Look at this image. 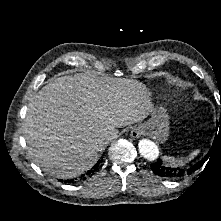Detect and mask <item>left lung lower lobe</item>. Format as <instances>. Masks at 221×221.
I'll use <instances>...</instances> for the list:
<instances>
[{
  "label": "left lung lower lobe",
  "mask_w": 221,
  "mask_h": 221,
  "mask_svg": "<svg viewBox=\"0 0 221 221\" xmlns=\"http://www.w3.org/2000/svg\"><path fill=\"white\" fill-rule=\"evenodd\" d=\"M204 160L205 158L202 159L200 162H197L194 165H190L184 168H179V167L173 168L171 166H168V164L163 162L161 159H158L153 164H151V169L156 175L161 176V177L181 178L199 169L201 164L204 162Z\"/></svg>",
  "instance_id": "0a47b994"
}]
</instances>
